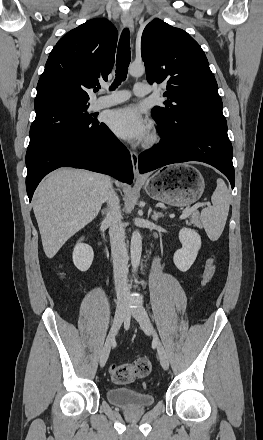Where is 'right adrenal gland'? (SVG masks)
<instances>
[{"label":"right adrenal gland","instance_id":"2a0ac1e0","mask_svg":"<svg viewBox=\"0 0 263 440\" xmlns=\"http://www.w3.org/2000/svg\"><path fill=\"white\" fill-rule=\"evenodd\" d=\"M102 215L104 216L106 213H107V209L106 208H104V209H102Z\"/></svg>","mask_w":263,"mask_h":440}]
</instances>
